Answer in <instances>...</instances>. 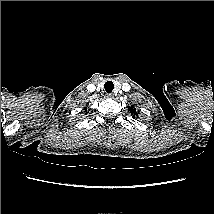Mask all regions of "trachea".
Here are the masks:
<instances>
[{"label": "trachea", "instance_id": "trachea-1", "mask_svg": "<svg viewBox=\"0 0 214 214\" xmlns=\"http://www.w3.org/2000/svg\"><path fill=\"white\" fill-rule=\"evenodd\" d=\"M104 88H105V91H106L107 93L112 92V90L114 89V84H113V82H112V81H107V82L105 83V85H104Z\"/></svg>", "mask_w": 214, "mask_h": 214}]
</instances>
